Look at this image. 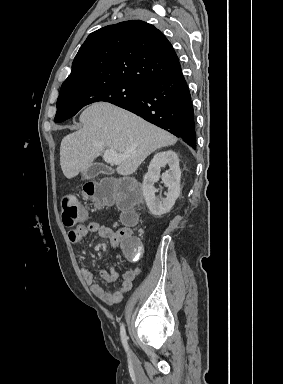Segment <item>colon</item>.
<instances>
[{"instance_id": "obj_1", "label": "colon", "mask_w": 283, "mask_h": 384, "mask_svg": "<svg viewBox=\"0 0 283 384\" xmlns=\"http://www.w3.org/2000/svg\"><path fill=\"white\" fill-rule=\"evenodd\" d=\"M82 195L97 207L117 206L123 213L126 225L136 221L135 207L140 202V191L130 180L105 178L100 181L88 182L83 186ZM62 220L68 227H73L87 219V211L81 207L75 194L68 193L62 199ZM126 256L131 260H138L143 254V247L139 240L131 235L129 229L118 235Z\"/></svg>"}]
</instances>
